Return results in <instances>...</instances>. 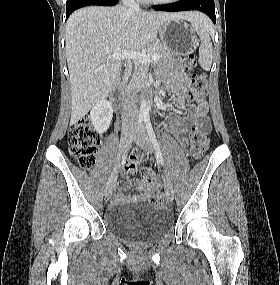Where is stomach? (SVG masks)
Here are the masks:
<instances>
[{
  "mask_svg": "<svg viewBox=\"0 0 280 285\" xmlns=\"http://www.w3.org/2000/svg\"><path fill=\"white\" fill-rule=\"evenodd\" d=\"M160 42L173 53L189 55L198 46V39L193 26L181 19L166 21L159 31Z\"/></svg>",
  "mask_w": 280,
  "mask_h": 285,
  "instance_id": "0dacf381",
  "label": "stomach"
}]
</instances>
